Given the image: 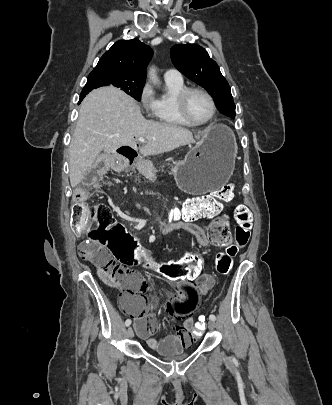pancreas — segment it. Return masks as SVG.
<instances>
[{
	"label": "pancreas",
	"mask_w": 332,
	"mask_h": 405,
	"mask_svg": "<svg viewBox=\"0 0 332 405\" xmlns=\"http://www.w3.org/2000/svg\"><path fill=\"white\" fill-rule=\"evenodd\" d=\"M169 165V164H168ZM164 171V168H162V172ZM170 174V173H169Z\"/></svg>",
	"instance_id": "1"
}]
</instances>
